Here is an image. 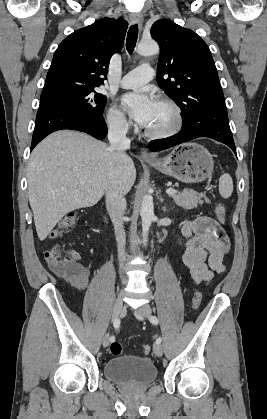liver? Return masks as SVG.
<instances>
[{
    "mask_svg": "<svg viewBox=\"0 0 267 419\" xmlns=\"http://www.w3.org/2000/svg\"><path fill=\"white\" fill-rule=\"evenodd\" d=\"M135 177L133 160L125 153L114 158L104 142L71 130L50 134L32 151L27 170L38 238L45 240L67 213L97 204L111 178L127 193Z\"/></svg>",
    "mask_w": 267,
    "mask_h": 419,
    "instance_id": "obj_1",
    "label": "liver"
}]
</instances>
